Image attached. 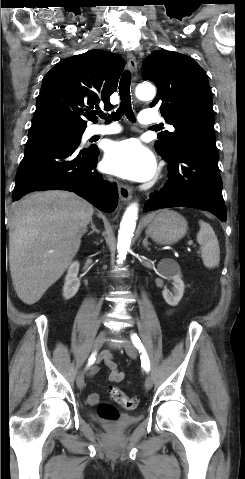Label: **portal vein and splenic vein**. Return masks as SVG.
<instances>
[{
  "label": "portal vein and splenic vein",
  "instance_id": "obj_1",
  "mask_svg": "<svg viewBox=\"0 0 245 479\" xmlns=\"http://www.w3.org/2000/svg\"><path fill=\"white\" fill-rule=\"evenodd\" d=\"M192 244H193L192 241H189V242H188V246H191Z\"/></svg>",
  "mask_w": 245,
  "mask_h": 479
}]
</instances>
